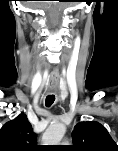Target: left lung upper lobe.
I'll list each match as a JSON object with an SVG mask.
<instances>
[{
  "mask_svg": "<svg viewBox=\"0 0 118 151\" xmlns=\"http://www.w3.org/2000/svg\"><path fill=\"white\" fill-rule=\"evenodd\" d=\"M76 151H118L106 128L98 122L78 123L72 132Z\"/></svg>",
  "mask_w": 118,
  "mask_h": 151,
  "instance_id": "obj_1",
  "label": "left lung upper lobe"
}]
</instances>
